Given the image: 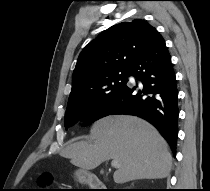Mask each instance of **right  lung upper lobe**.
<instances>
[{
  "instance_id": "cb5924a9",
  "label": "right lung upper lobe",
  "mask_w": 210,
  "mask_h": 191,
  "mask_svg": "<svg viewBox=\"0 0 210 191\" xmlns=\"http://www.w3.org/2000/svg\"><path fill=\"white\" fill-rule=\"evenodd\" d=\"M159 32L148 22L134 19L103 31L80 53L73 72L69 98L88 90L107 72L129 69Z\"/></svg>"
}]
</instances>
